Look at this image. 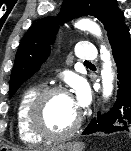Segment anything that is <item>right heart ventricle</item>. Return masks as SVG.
I'll list each match as a JSON object with an SVG mask.
<instances>
[{
    "label": "right heart ventricle",
    "mask_w": 131,
    "mask_h": 151,
    "mask_svg": "<svg viewBox=\"0 0 131 151\" xmlns=\"http://www.w3.org/2000/svg\"><path fill=\"white\" fill-rule=\"evenodd\" d=\"M40 91L41 87L38 85L26 88L21 94L16 106V130L21 141L26 144H37L42 141V138L32 132L28 121L30 106Z\"/></svg>",
    "instance_id": "1"
}]
</instances>
